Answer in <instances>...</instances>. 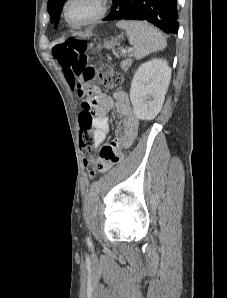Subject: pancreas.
<instances>
[{
	"label": "pancreas",
	"mask_w": 227,
	"mask_h": 298,
	"mask_svg": "<svg viewBox=\"0 0 227 298\" xmlns=\"http://www.w3.org/2000/svg\"><path fill=\"white\" fill-rule=\"evenodd\" d=\"M131 64H132V60H131V59H128V60H126V61H123V62L121 63V66H122V68H123L125 71H127L128 68L131 66Z\"/></svg>",
	"instance_id": "cf45deb5"
}]
</instances>
